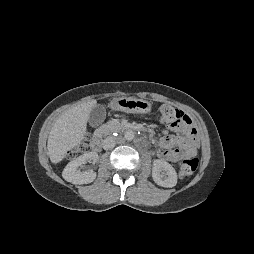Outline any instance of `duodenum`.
<instances>
[{
	"instance_id": "410a0bca",
	"label": "duodenum",
	"mask_w": 254,
	"mask_h": 254,
	"mask_svg": "<svg viewBox=\"0 0 254 254\" xmlns=\"http://www.w3.org/2000/svg\"><path fill=\"white\" fill-rule=\"evenodd\" d=\"M126 130L128 131H136V130H140L143 131L147 134H151V129L146 127V126H126L125 127ZM101 135H102V131H97L95 133V135L93 136V138L90 141V147L91 150L94 152H97L100 150L101 148Z\"/></svg>"
}]
</instances>
